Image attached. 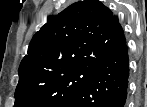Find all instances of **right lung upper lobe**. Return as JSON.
<instances>
[{
	"label": "right lung upper lobe",
	"instance_id": "right-lung-upper-lobe-1",
	"mask_svg": "<svg viewBox=\"0 0 147 107\" xmlns=\"http://www.w3.org/2000/svg\"><path fill=\"white\" fill-rule=\"evenodd\" d=\"M124 42V31L108 7L98 0L79 1L49 18L33 36L19 76L78 65L98 68Z\"/></svg>",
	"mask_w": 147,
	"mask_h": 107
}]
</instances>
